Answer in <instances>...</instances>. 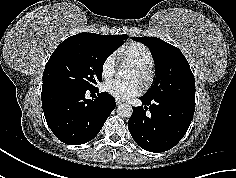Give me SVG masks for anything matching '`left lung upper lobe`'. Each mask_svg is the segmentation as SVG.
<instances>
[{
	"label": "left lung upper lobe",
	"instance_id": "left-lung-upper-lobe-1",
	"mask_svg": "<svg viewBox=\"0 0 236 178\" xmlns=\"http://www.w3.org/2000/svg\"><path fill=\"white\" fill-rule=\"evenodd\" d=\"M146 45L155 61L154 86L144 97L195 103V80L189 63L175 46L156 37H132Z\"/></svg>",
	"mask_w": 236,
	"mask_h": 178
}]
</instances>
